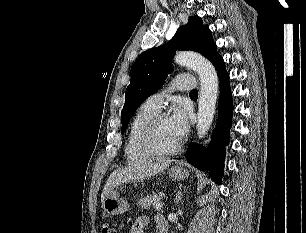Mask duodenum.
Listing matches in <instances>:
<instances>
[{"mask_svg":"<svg viewBox=\"0 0 306 233\" xmlns=\"http://www.w3.org/2000/svg\"><path fill=\"white\" fill-rule=\"evenodd\" d=\"M159 232H160V233H168V226H167V225H162V226L159 228Z\"/></svg>","mask_w":306,"mask_h":233,"instance_id":"1","label":"duodenum"}]
</instances>
